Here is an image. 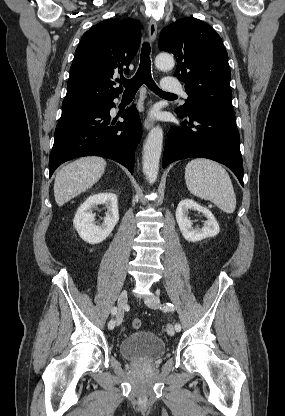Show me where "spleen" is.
Returning a JSON list of instances; mask_svg holds the SVG:
<instances>
[{"label":"spleen","instance_id":"obj_1","mask_svg":"<svg viewBox=\"0 0 285 416\" xmlns=\"http://www.w3.org/2000/svg\"><path fill=\"white\" fill-rule=\"evenodd\" d=\"M186 186L193 196L210 200L226 214H233L236 196L232 182L224 168L211 160H191L185 168Z\"/></svg>","mask_w":285,"mask_h":416}]
</instances>
